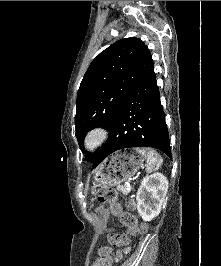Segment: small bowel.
<instances>
[{
    "instance_id": "c3829d8e",
    "label": "small bowel",
    "mask_w": 221,
    "mask_h": 266,
    "mask_svg": "<svg viewBox=\"0 0 221 266\" xmlns=\"http://www.w3.org/2000/svg\"><path fill=\"white\" fill-rule=\"evenodd\" d=\"M96 210H97L98 213H103V212L105 211V209L102 208V207H98ZM146 227H147V226H146ZM110 250H111V247H109V246H104V247L100 248L99 251H98V255H99L98 259H99L104 253H106V252H108V251H110ZM119 257H120V255L117 256L116 260H118ZM98 259H97L96 261H94V262L91 264V266H97V261H98ZM109 266H111V260H110V265H109Z\"/></svg>"
}]
</instances>
